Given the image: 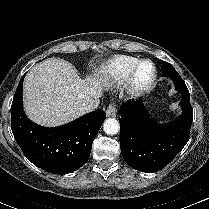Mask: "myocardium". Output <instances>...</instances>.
<instances>
[{
	"instance_id": "myocardium-1",
	"label": "myocardium",
	"mask_w": 209,
	"mask_h": 209,
	"mask_svg": "<svg viewBox=\"0 0 209 209\" xmlns=\"http://www.w3.org/2000/svg\"><path fill=\"white\" fill-rule=\"evenodd\" d=\"M145 63H149L152 65L153 67V74L152 77L147 80V81H140L138 74H139V70L141 68V66ZM157 75H158V71H157V67L154 64V62H152L149 59H144V60H140L136 66L134 67L130 78H129V92L132 96L138 97L143 95L144 93H146L147 91H149L153 85L156 82L157 79Z\"/></svg>"
}]
</instances>
